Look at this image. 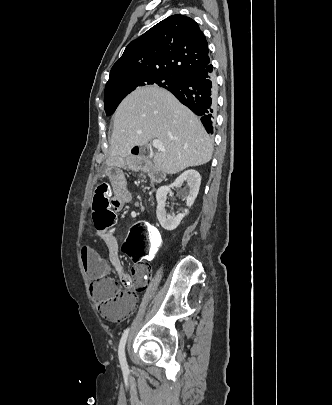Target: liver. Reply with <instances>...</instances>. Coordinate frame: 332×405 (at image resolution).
<instances>
[{
    "label": "liver",
    "instance_id": "liver-1",
    "mask_svg": "<svg viewBox=\"0 0 332 405\" xmlns=\"http://www.w3.org/2000/svg\"><path fill=\"white\" fill-rule=\"evenodd\" d=\"M152 139L165 147V152L154 155L153 163L167 174L206 164L212 157L213 140L200 119L169 91L142 87L129 94L114 114L108 162H124L133 147Z\"/></svg>",
    "mask_w": 332,
    "mask_h": 405
}]
</instances>
